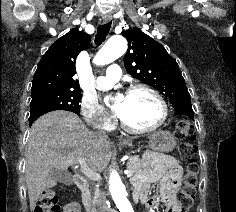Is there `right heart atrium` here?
<instances>
[{
  "label": "right heart atrium",
  "instance_id": "obj_1",
  "mask_svg": "<svg viewBox=\"0 0 236 212\" xmlns=\"http://www.w3.org/2000/svg\"><path fill=\"white\" fill-rule=\"evenodd\" d=\"M81 114L85 122L92 128L108 130L113 126V119L110 117L98 99L91 95H85L81 100Z\"/></svg>",
  "mask_w": 236,
  "mask_h": 212
}]
</instances>
